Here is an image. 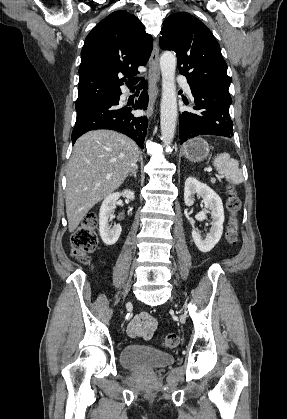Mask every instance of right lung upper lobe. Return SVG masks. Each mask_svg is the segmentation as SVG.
I'll list each match as a JSON object with an SVG mask.
<instances>
[{
    "instance_id": "cb5924a9",
    "label": "right lung upper lobe",
    "mask_w": 287,
    "mask_h": 419,
    "mask_svg": "<svg viewBox=\"0 0 287 419\" xmlns=\"http://www.w3.org/2000/svg\"><path fill=\"white\" fill-rule=\"evenodd\" d=\"M151 35L140 20L127 11H115L88 34L81 51L76 106H84L121 94L119 76L137 80L138 66L145 65L153 49Z\"/></svg>"
}]
</instances>
